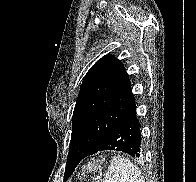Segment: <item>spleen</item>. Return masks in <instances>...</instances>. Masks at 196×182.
Segmentation results:
<instances>
[{
  "mask_svg": "<svg viewBox=\"0 0 196 182\" xmlns=\"http://www.w3.org/2000/svg\"><path fill=\"white\" fill-rule=\"evenodd\" d=\"M103 182H143L141 173L129 159L116 155L112 158Z\"/></svg>",
  "mask_w": 196,
  "mask_h": 182,
  "instance_id": "3e777b00",
  "label": "spleen"
}]
</instances>
